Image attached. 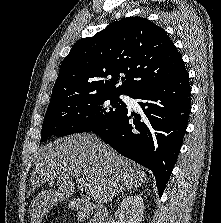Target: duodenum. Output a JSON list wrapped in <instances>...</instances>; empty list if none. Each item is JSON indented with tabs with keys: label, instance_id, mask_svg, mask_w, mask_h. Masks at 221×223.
I'll return each mask as SVG.
<instances>
[{
	"label": "duodenum",
	"instance_id": "1",
	"mask_svg": "<svg viewBox=\"0 0 221 223\" xmlns=\"http://www.w3.org/2000/svg\"><path fill=\"white\" fill-rule=\"evenodd\" d=\"M71 206L79 220L93 218L95 223H110L109 212L102 205H95L87 200H74Z\"/></svg>",
	"mask_w": 221,
	"mask_h": 223
}]
</instances>
